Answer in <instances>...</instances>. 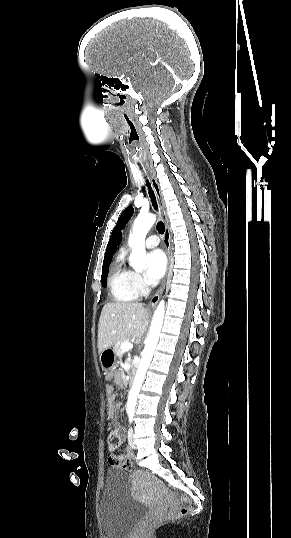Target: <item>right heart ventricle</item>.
Masks as SVG:
<instances>
[{"label": "right heart ventricle", "mask_w": 291, "mask_h": 538, "mask_svg": "<svg viewBox=\"0 0 291 538\" xmlns=\"http://www.w3.org/2000/svg\"><path fill=\"white\" fill-rule=\"evenodd\" d=\"M109 289L115 302H132L139 297L140 292L135 284L134 272L125 265L123 254L112 263Z\"/></svg>", "instance_id": "obj_1"}]
</instances>
